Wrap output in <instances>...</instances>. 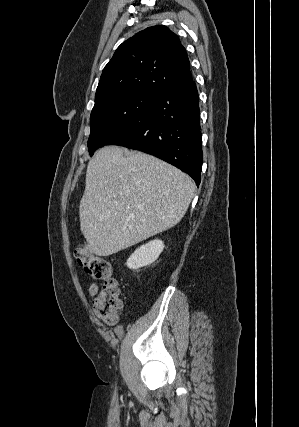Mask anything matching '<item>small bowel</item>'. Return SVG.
<instances>
[{
  "mask_svg": "<svg viewBox=\"0 0 299 427\" xmlns=\"http://www.w3.org/2000/svg\"><path fill=\"white\" fill-rule=\"evenodd\" d=\"M97 291H98V286H97V284H96V283H92V284L89 286V294H90L91 296H95V295L97 294Z\"/></svg>",
  "mask_w": 299,
  "mask_h": 427,
  "instance_id": "obj_1",
  "label": "small bowel"
}]
</instances>
